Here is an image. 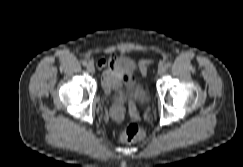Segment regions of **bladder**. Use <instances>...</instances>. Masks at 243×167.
I'll return each mask as SVG.
<instances>
[{
    "mask_svg": "<svg viewBox=\"0 0 243 167\" xmlns=\"http://www.w3.org/2000/svg\"><path fill=\"white\" fill-rule=\"evenodd\" d=\"M115 72L119 78H123L125 75L135 76L137 69L136 63L133 58L128 56L120 57L115 64ZM123 81V80H122ZM130 89H133L136 97L144 105H149L152 101V92L145 79L136 84V81L131 85Z\"/></svg>",
    "mask_w": 243,
    "mask_h": 167,
    "instance_id": "bladder-1",
    "label": "bladder"
}]
</instances>
